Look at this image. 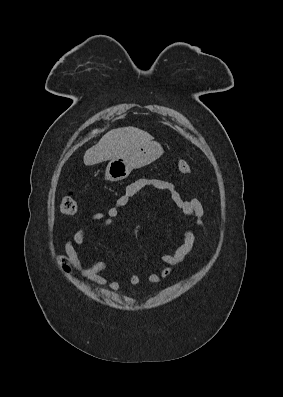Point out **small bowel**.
<instances>
[{"instance_id":"obj_1","label":"small bowel","mask_w":283,"mask_h":397,"mask_svg":"<svg viewBox=\"0 0 283 397\" xmlns=\"http://www.w3.org/2000/svg\"><path fill=\"white\" fill-rule=\"evenodd\" d=\"M144 188H154L168 192L177 208L187 218V224L183 234L182 243L172 254L163 255L161 257L162 262L166 264L165 267H163L158 273H152L147 277L148 284L157 285L162 279L170 277L173 267L180 264L192 250L195 242L194 225L196 224L203 230L205 234L207 233L203 219L204 210L198 200L183 199L177 186L170 181L142 177L129 184L124 194L121 195L106 212L95 213L92 215L90 221L100 222L102 226H108L112 224L113 221L119 216L121 209L125 207L140 190ZM85 229V226L77 229L72 238L66 241L64 248L69 261L76 272L85 281L108 286L113 291L120 290L121 287L119 282L109 275L103 273L104 270L108 268L107 262L98 261L88 268H84L81 265L76 248H83L85 244ZM129 282L132 285L137 286L141 283V278L138 275L133 274L130 276Z\"/></svg>"}]
</instances>
